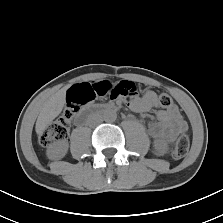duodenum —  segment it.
I'll list each match as a JSON object with an SVG mask.
<instances>
[{
  "label": "duodenum",
  "instance_id": "duodenum-1",
  "mask_svg": "<svg viewBox=\"0 0 223 223\" xmlns=\"http://www.w3.org/2000/svg\"><path fill=\"white\" fill-rule=\"evenodd\" d=\"M117 109L116 106L112 104H101L95 107L88 108L84 111V113L78 118L77 122L78 124H81L83 122H86L90 116L101 112V111H112Z\"/></svg>",
  "mask_w": 223,
  "mask_h": 223
}]
</instances>
